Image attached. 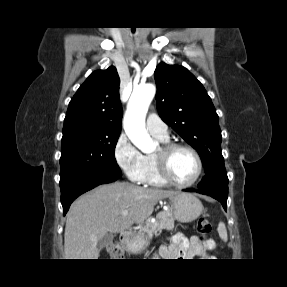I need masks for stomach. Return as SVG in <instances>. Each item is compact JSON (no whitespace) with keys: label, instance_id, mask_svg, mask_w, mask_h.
Masks as SVG:
<instances>
[{"label":"stomach","instance_id":"obj_1","mask_svg":"<svg viewBox=\"0 0 287 287\" xmlns=\"http://www.w3.org/2000/svg\"><path fill=\"white\" fill-rule=\"evenodd\" d=\"M171 212L173 217L181 223H189L196 220L203 212L201 201L189 193H177L170 197ZM146 244L141 235L134 236L127 240V248L134 253L140 252Z\"/></svg>","mask_w":287,"mask_h":287}]
</instances>
